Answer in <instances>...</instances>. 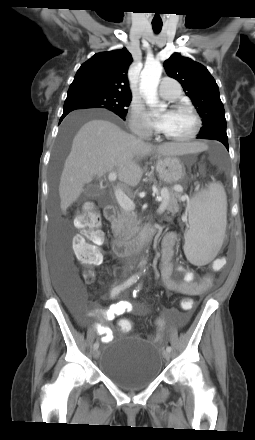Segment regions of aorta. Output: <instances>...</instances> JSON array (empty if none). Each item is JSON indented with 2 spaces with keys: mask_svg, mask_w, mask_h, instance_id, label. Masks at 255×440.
I'll list each match as a JSON object with an SVG mask.
<instances>
[{
  "mask_svg": "<svg viewBox=\"0 0 255 440\" xmlns=\"http://www.w3.org/2000/svg\"><path fill=\"white\" fill-rule=\"evenodd\" d=\"M163 67L158 61H152L145 64L141 72L140 91L144 95L146 103L150 106H157L158 96L157 88L160 82ZM163 108L165 105L162 106ZM144 262L142 263V266Z\"/></svg>",
  "mask_w": 255,
  "mask_h": 440,
  "instance_id": "aorta-1",
  "label": "aorta"
}]
</instances>
